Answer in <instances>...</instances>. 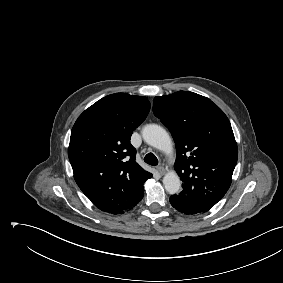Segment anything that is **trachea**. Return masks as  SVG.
I'll list each match as a JSON object with an SVG mask.
<instances>
[{"mask_svg": "<svg viewBox=\"0 0 283 283\" xmlns=\"http://www.w3.org/2000/svg\"><path fill=\"white\" fill-rule=\"evenodd\" d=\"M144 161L152 166H156L158 165V159L157 157L153 154V153H148L145 157H144Z\"/></svg>", "mask_w": 283, "mask_h": 283, "instance_id": "obj_1", "label": "trachea"}]
</instances>
